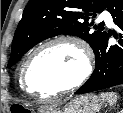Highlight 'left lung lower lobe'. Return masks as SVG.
<instances>
[{
    "label": "left lung lower lobe",
    "mask_w": 123,
    "mask_h": 113,
    "mask_svg": "<svg viewBox=\"0 0 123 113\" xmlns=\"http://www.w3.org/2000/svg\"><path fill=\"white\" fill-rule=\"evenodd\" d=\"M113 17V22L123 32V0H110L106 8ZM109 36L105 37L95 51V70L88 81L75 94L106 89L123 84V36L119 34L116 45H109ZM117 37V36H116Z\"/></svg>",
    "instance_id": "obj_1"
}]
</instances>
